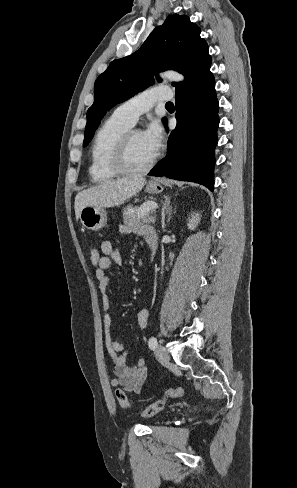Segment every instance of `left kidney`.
Masks as SVG:
<instances>
[{
	"label": "left kidney",
	"mask_w": 297,
	"mask_h": 488,
	"mask_svg": "<svg viewBox=\"0 0 297 488\" xmlns=\"http://www.w3.org/2000/svg\"><path fill=\"white\" fill-rule=\"evenodd\" d=\"M199 222H200V215L198 213L191 214V218H189L188 228L190 230H194Z\"/></svg>",
	"instance_id": "1"
}]
</instances>
